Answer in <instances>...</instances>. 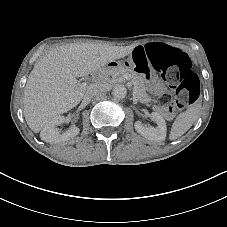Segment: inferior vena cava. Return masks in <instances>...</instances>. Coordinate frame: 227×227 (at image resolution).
<instances>
[{
	"label": "inferior vena cava",
	"instance_id": "obj_1",
	"mask_svg": "<svg viewBox=\"0 0 227 227\" xmlns=\"http://www.w3.org/2000/svg\"><path fill=\"white\" fill-rule=\"evenodd\" d=\"M88 91L92 93L96 98L100 99L105 93V89L99 83H94L88 88Z\"/></svg>",
	"mask_w": 227,
	"mask_h": 227
}]
</instances>
